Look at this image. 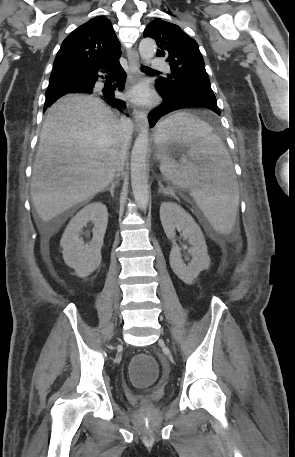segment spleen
<instances>
[{
    "label": "spleen",
    "mask_w": 295,
    "mask_h": 457,
    "mask_svg": "<svg viewBox=\"0 0 295 457\" xmlns=\"http://www.w3.org/2000/svg\"><path fill=\"white\" fill-rule=\"evenodd\" d=\"M182 140L188 159L179 163L162 160L160 171L174 185L188 189L213 229L229 234L239 206V187L228 150L212 128L188 112H177L158 127L155 142Z\"/></svg>",
    "instance_id": "3e777b00"
}]
</instances>
